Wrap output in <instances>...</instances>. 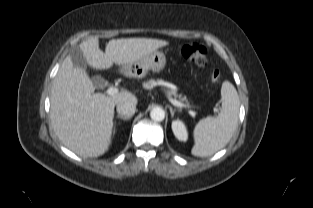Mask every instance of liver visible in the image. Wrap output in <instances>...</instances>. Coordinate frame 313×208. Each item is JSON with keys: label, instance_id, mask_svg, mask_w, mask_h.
<instances>
[{"label": "liver", "instance_id": "obj_1", "mask_svg": "<svg viewBox=\"0 0 313 208\" xmlns=\"http://www.w3.org/2000/svg\"><path fill=\"white\" fill-rule=\"evenodd\" d=\"M168 44L165 40L151 38L112 39L104 53L99 48V39L91 37L79 48L90 67L105 70L114 63L128 65ZM125 101L138 102L128 91L114 96L95 93V86L85 70L75 68L68 55L53 80L51 124L68 149L82 157H99L111 144L115 105Z\"/></svg>", "mask_w": 313, "mask_h": 208}]
</instances>
